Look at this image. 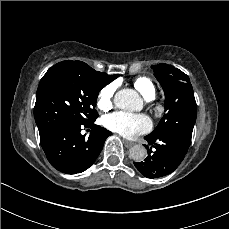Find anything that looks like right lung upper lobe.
I'll return each instance as SVG.
<instances>
[{
  "label": "right lung upper lobe",
  "mask_w": 229,
  "mask_h": 229,
  "mask_svg": "<svg viewBox=\"0 0 229 229\" xmlns=\"http://www.w3.org/2000/svg\"><path fill=\"white\" fill-rule=\"evenodd\" d=\"M60 63L72 65V66H75L76 68L82 70L83 72L86 73V75L89 77L91 82L95 86H97L101 89L119 76V75H107L106 73L95 71L90 66H88L86 63L81 62V61L67 60V61H62Z\"/></svg>",
  "instance_id": "right-lung-upper-lobe-1"
}]
</instances>
